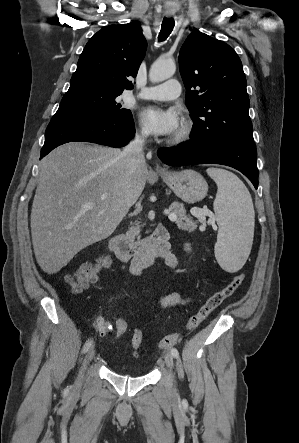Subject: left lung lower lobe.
Listing matches in <instances>:
<instances>
[{
  "mask_svg": "<svg viewBox=\"0 0 299 443\" xmlns=\"http://www.w3.org/2000/svg\"><path fill=\"white\" fill-rule=\"evenodd\" d=\"M161 161L170 166L221 164L242 172L258 188L257 151L254 141L208 143L189 140L157 152Z\"/></svg>",
  "mask_w": 299,
  "mask_h": 443,
  "instance_id": "1",
  "label": "left lung lower lobe"
}]
</instances>
